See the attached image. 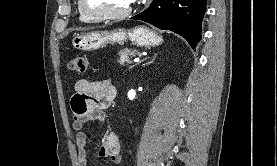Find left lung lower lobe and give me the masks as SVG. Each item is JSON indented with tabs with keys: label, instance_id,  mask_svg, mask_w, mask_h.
Returning <instances> with one entry per match:
<instances>
[{
	"label": "left lung lower lobe",
	"instance_id": "1",
	"mask_svg": "<svg viewBox=\"0 0 277 166\" xmlns=\"http://www.w3.org/2000/svg\"><path fill=\"white\" fill-rule=\"evenodd\" d=\"M205 12L206 0H153L145 11L131 19L178 33L195 48L201 39V22Z\"/></svg>",
	"mask_w": 277,
	"mask_h": 166
}]
</instances>
